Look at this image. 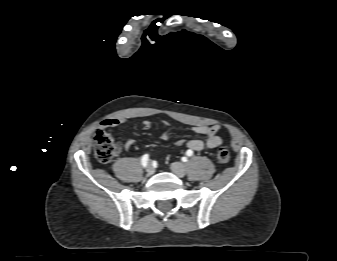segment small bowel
Returning <instances> with one entry per match:
<instances>
[{
    "mask_svg": "<svg viewBox=\"0 0 337 261\" xmlns=\"http://www.w3.org/2000/svg\"><path fill=\"white\" fill-rule=\"evenodd\" d=\"M123 123L122 119L112 118L107 119L101 122L102 128H113L118 127ZM163 124L167 125L166 121L162 122ZM152 126V122L149 120L143 121L144 129H149ZM191 130L203 136V139H191L185 140L180 139L176 142L178 146L185 147L192 151H202L204 149H213L220 146L223 143L222 138L218 135L220 131V126L218 125H195L191 128ZM161 139L167 141L169 139V133L165 132L161 135ZM122 145L126 150H129L134 145L133 139H125L122 141Z\"/></svg>",
    "mask_w": 337,
    "mask_h": 261,
    "instance_id": "c3829d8e",
    "label": "small bowel"
}]
</instances>
